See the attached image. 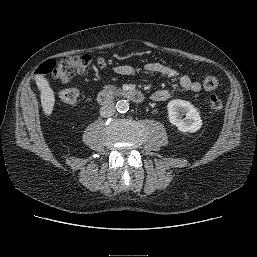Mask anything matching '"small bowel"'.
<instances>
[{
    "instance_id": "obj_1",
    "label": "small bowel",
    "mask_w": 257,
    "mask_h": 257,
    "mask_svg": "<svg viewBox=\"0 0 257 257\" xmlns=\"http://www.w3.org/2000/svg\"><path fill=\"white\" fill-rule=\"evenodd\" d=\"M105 64L103 62L100 63V66H104ZM140 67L139 66H133V65H118L114 68V70L122 75H130L133 74L135 71H137ZM142 68L150 73H156L160 74L162 76H165L167 78H178L180 86L185 89L189 90L194 93H198L202 90V85L198 81L192 80L187 75H180L179 72L169 66H166L164 64L158 63V62H150L146 63L142 66ZM171 93L167 89H160L155 91L151 95V99L156 102L166 101L170 98Z\"/></svg>"
}]
</instances>
